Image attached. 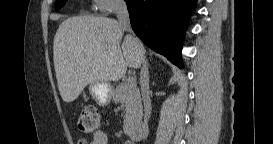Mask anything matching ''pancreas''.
<instances>
[{
  "mask_svg": "<svg viewBox=\"0 0 273 144\" xmlns=\"http://www.w3.org/2000/svg\"><path fill=\"white\" fill-rule=\"evenodd\" d=\"M114 103H121L126 113L124 127L128 128L138 122L142 117V105L139 89L127 86V80L112 90Z\"/></svg>",
  "mask_w": 273,
  "mask_h": 144,
  "instance_id": "1",
  "label": "pancreas"
}]
</instances>
